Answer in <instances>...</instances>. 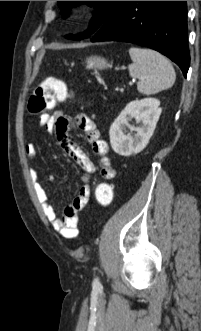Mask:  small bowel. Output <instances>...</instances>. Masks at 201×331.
I'll list each match as a JSON object with an SVG mask.
<instances>
[{"label": "small bowel", "mask_w": 201, "mask_h": 331, "mask_svg": "<svg viewBox=\"0 0 201 331\" xmlns=\"http://www.w3.org/2000/svg\"><path fill=\"white\" fill-rule=\"evenodd\" d=\"M39 124L49 133H55L56 138L65 153L71 157L87 174L98 171L104 180L114 178L116 171L109 158L108 144L100 137L97 125L85 114H78L75 117V124L78 129L84 132L86 140L93 152L100 160L99 168L90 160L85 152L69 137L71 118L64 111L56 110L53 113H44L39 118ZM25 153L29 160L37 157V150L33 144L25 146ZM30 177L33 182L36 196L42 204L43 212L52 224L53 228L63 237L73 239L78 235V215L88 203L91 196V188L86 183L79 189L77 197L65 209L63 219L57 215L56 209L48 202V194L41 182L37 170H30ZM49 181L53 177H48Z\"/></svg>", "instance_id": "1"}]
</instances>
